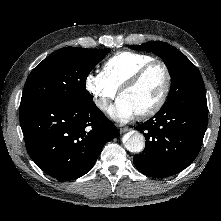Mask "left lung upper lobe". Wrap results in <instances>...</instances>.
<instances>
[{"instance_id":"left-lung-upper-lobe-1","label":"left lung upper lobe","mask_w":221,"mask_h":221,"mask_svg":"<svg viewBox=\"0 0 221 221\" xmlns=\"http://www.w3.org/2000/svg\"><path fill=\"white\" fill-rule=\"evenodd\" d=\"M132 49L153 52L161 57L171 75V88L165 104L206 101L205 86L196 66L175 47L161 41L132 45Z\"/></svg>"}]
</instances>
